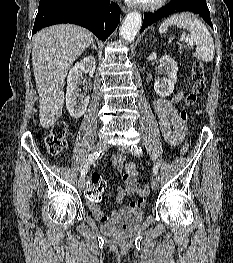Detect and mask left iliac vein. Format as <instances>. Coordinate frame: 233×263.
I'll return each instance as SVG.
<instances>
[{
  "label": "left iliac vein",
  "mask_w": 233,
  "mask_h": 263,
  "mask_svg": "<svg viewBox=\"0 0 233 263\" xmlns=\"http://www.w3.org/2000/svg\"><path fill=\"white\" fill-rule=\"evenodd\" d=\"M119 150L124 154L130 153V147L128 145H123V146L119 147ZM158 186H159V178L154 177L151 181V188L153 190H156L158 188Z\"/></svg>",
  "instance_id": "4c4485c4"
}]
</instances>
